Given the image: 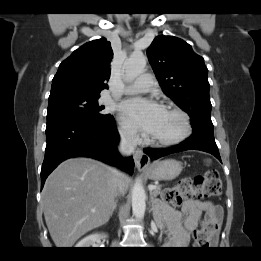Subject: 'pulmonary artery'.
I'll use <instances>...</instances> for the list:
<instances>
[{
	"label": "pulmonary artery",
	"mask_w": 261,
	"mask_h": 261,
	"mask_svg": "<svg viewBox=\"0 0 261 261\" xmlns=\"http://www.w3.org/2000/svg\"><path fill=\"white\" fill-rule=\"evenodd\" d=\"M154 81L151 74H141L125 88L126 94L145 93L153 87Z\"/></svg>",
	"instance_id": "pulmonary-artery-1"
}]
</instances>
